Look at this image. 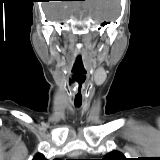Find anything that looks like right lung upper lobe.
Instances as JSON below:
<instances>
[{
	"label": "right lung upper lobe",
	"mask_w": 160,
	"mask_h": 160,
	"mask_svg": "<svg viewBox=\"0 0 160 160\" xmlns=\"http://www.w3.org/2000/svg\"><path fill=\"white\" fill-rule=\"evenodd\" d=\"M33 160H47V159L45 158V156H44L43 154L37 153V154L34 156ZM56 160H57V159H56Z\"/></svg>",
	"instance_id": "right-lung-upper-lobe-1"
}]
</instances>
